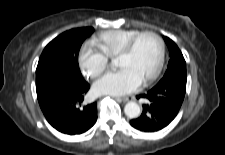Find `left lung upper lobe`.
<instances>
[{
	"label": "left lung upper lobe",
	"mask_w": 225,
	"mask_h": 155,
	"mask_svg": "<svg viewBox=\"0 0 225 155\" xmlns=\"http://www.w3.org/2000/svg\"><path fill=\"white\" fill-rule=\"evenodd\" d=\"M165 42L169 48L170 60L168 69L159 83L178 82L186 86V62L179 50L178 46L168 37H165Z\"/></svg>",
	"instance_id": "obj_1"
}]
</instances>
